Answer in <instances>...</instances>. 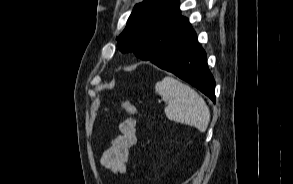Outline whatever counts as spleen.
Returning <instances> with one entry per match:
<instances>
[{
	"label": "spleen",
	"instance_id": "3e777b00",
	"mask_svg": "<svg viewBox=\"0 0 293 184\" xmlns=\"http://www.w3.org/2000/svg\"><path fill=\"white\" fill-rule=\"evenodd\" d=\"M166 103L165 114L171 121L196 127L206 131L210 121V111L204 99L190 86L173 77H164L155 85Z\"/></svg>",
	"mask_w": 293,
	"mask_h": 184
}]
</instances>
